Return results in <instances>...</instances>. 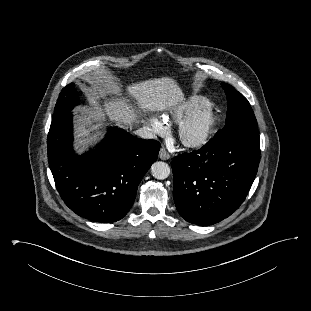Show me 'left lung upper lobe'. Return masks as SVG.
Wrapping results in <instances>:
<instances>
[{"mask_svg": "<svg viewBox=\"0 0 311 311\" xmlns=\"http://www.w3.org/2000/svg\"><path fill=\"white\" fill-rule=\"evenodd\" d=\"M228 101L226 124L220 129L215 138L233 131L258 133L257 120L248 100L235 88L226 83L221 84Z\"/></svg>", "mask_w": 311, "mask_h": 311, "instance_id": "obj_1", "label": "left lung upper lobe"}]
</instances>
